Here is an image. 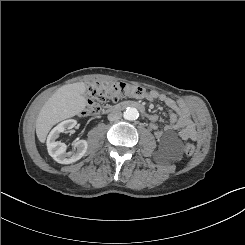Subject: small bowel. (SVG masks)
I'll return each instance as SVG.
<instances>
[{
  "instance_id": "1",
  "label": "small bowel",
  "mask_w": 245,
  "mask_h": 245,
  "mask_svg": "<svg viewBox=\"0 0 245 245\" xmlns=\"http://www.w3.org/2000/svg\"><path fill=\"white\" fill-rule=\"evenodd\" d=\"M147 100L161 101L169 115V125L164 130L159 129L157 126L158 116L155 114L151 115V129L154 132L156 138L160 139L164 136L165 132L179 131V136L183 140H197L198 132L195 124L191 118L188 107L183 102H178L170 98L165 94L158 93L157 91H150L146 95Z\"/></svg>"
}]
</instances>
